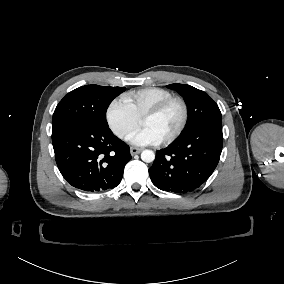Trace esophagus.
<instances>
[{"instance_id":"1","label":"esophagus","mask_w":284,"mask_h":284,"mask_svg":"<svg viewBox=\"0 0 284 284\" xmlns=\"http://www.w3.org/2000/svg\"><path fill=\"white\" fill-rule=\"evenodd\" d=\"M143 149L142 148H137V147H131L130 148V153L132 156L139 154Z\"/></svg>"}]
</instances>
